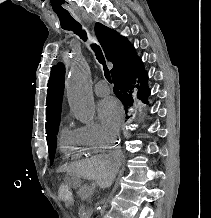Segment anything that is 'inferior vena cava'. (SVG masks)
<instances>
[{
    "mask_svg": "<svg viewBox=\"0 0 211 218\" xmlns=\"http://www.w3.org/2000/svg\"><path fill=\"white\" fill-rule=\"evenodd\" d=\"M119 154L118 152H113V154H109L108 158H112V160H115V158H118ZM114 174L113 176H110V178H108L107 182H105L104 184V188H109V186H111L112 182H114Z\"/></svg>",
    "mask_w": 211,
    "mask_h": 218,
    "instance_id": "1",
    "label": "inferior vena cava"
}]
</instances>
